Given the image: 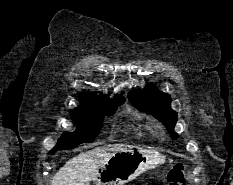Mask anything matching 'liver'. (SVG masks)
Returning <instances> with one entry per match:
<instances>
[{"instance_id":"obj_1","label":"liver","mask_w":233,"mask_h":185,"mask_svg":"<svg viewBox=\"0 0 233 185\" xmlns=\"http://www.w3.org/2000/svg\"><path fill=\"white\" fill-rule=\"evenodd\" d=\"M126 144H112L82 152L70 159L52 178L51 185H89L101 166Z\"/></svg>"}]
</instances>
